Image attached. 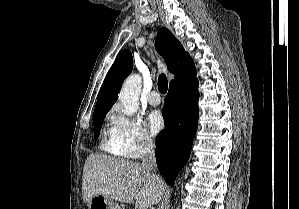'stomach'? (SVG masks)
I'll return each instance as SVG.
<instances>
[{
	"label": "stomach",
	"instance_id": "0dacf381",
	"mask_svg": "<svg viewBox=\"0 0 299 209\" xmlns=\"http://www.w3.org/2000/svg\"><path fill=\"white\" fill-rule=\"evenodd\" d=\"M88 209H120L113 200L104 195H95L88 203Z\"/></svg>",
	"mask_w": 299,
	"mask_h": 209
}]
</instances>
